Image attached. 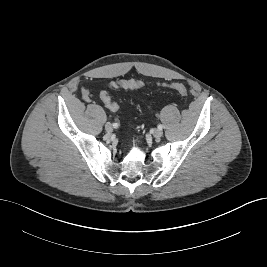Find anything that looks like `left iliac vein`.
I'll use <instances>...</instances> for the list:
<instances>
[{
    "instance_id": "obj_1",
    "label": "left iliac vein",
    "mask_w": 267,
    "mask_h": 267,
    "mask_svg": "<svg viewBox=\"0 0 267 267\" xmlns=\"http://www.w3.org/2000/svg\"><path fill=\"white\" fill-rule=\"evenodd\" d=\"M162 135H163V132H162V130H160V129H155V130L153 131V136H154L155 138H160Z\"/></svg>"
}]
</instances>
